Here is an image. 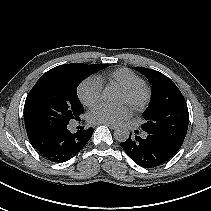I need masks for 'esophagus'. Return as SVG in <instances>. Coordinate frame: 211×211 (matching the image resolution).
Listing matches in <instances>:
<instances>
[{
  "label": "esophagus",
  "instance_id": "esophagus-1",
  "mask_svg": "<svg viewBox=\"0 0 211 211\" xmlns=\"http://www.w3.org/2000/svg\"><path fill=\"white\" fill-rule=\"evenodd\" d=\"M104 125H106L107 127H109L110 129L114 130L117 128V126L113 125V124H109V123H104Z\"/></svg>",
  "mask_w": 211,
  "mask_h": 211
}]
</instances>
